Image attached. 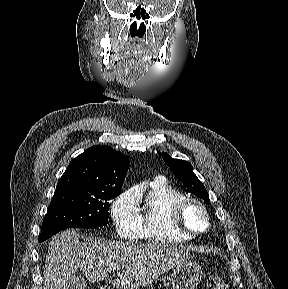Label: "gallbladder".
Returning <instances> with one entry per match:
<instances>
[{
  "label": "gallbladder",
  "instance_id": "obj_1",
  "mask_svg": "<svg viewBox=\"0 0 288 289\" xmlns=\"http://www.w3.org/2000/svg\"><path fill=\"white\" fill-rule=\"evenodd\" d=\"M84 284H85V282H84L83 279H81L79 277L75 278V285L76 286H81V285H84Z\"/></svg>",
  "mask_w": 288,
  "mask_h": 289
}]
</instances>
